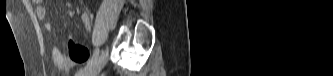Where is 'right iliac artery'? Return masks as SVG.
<instances>
[{
    "label": "right iliac artery",
    "instance_id": "82829eb1",
    "mask_svg": "<svg viewBox=\"0 0 333 76\" xmlns=\"http://www.w3.org/2000/svg\"><path fill=\"white\" fill-rule=\"evenodd\" d=\"M98 55H99V50H96L93 53L92 58L87 62V64L82 69H80L79 71H77L76 75L81 76L84 71H86L87 69H89L96 62V60L98 58Z\"/></svg>",
    "mask_w": 333,
    "mask_h": 76
}]
</instances>
